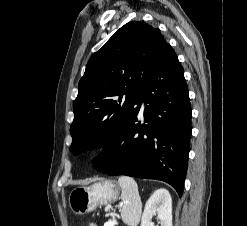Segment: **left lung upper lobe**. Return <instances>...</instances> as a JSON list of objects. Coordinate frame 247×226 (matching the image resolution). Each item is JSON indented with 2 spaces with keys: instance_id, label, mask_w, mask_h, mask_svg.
I'll return each mask as SVG.
<instances>
[{
  "instance_id": "5c2ea615",
  "label": "left lung upper lobe",
  "mask_w": 247,
  "mask_h": 226,
  "mask_svg": "<svg viewBox=\"0 0 247 226\" xmlns=\"http://www.w3.org/2000/svg\"><path fill=\"white\" fill-rule=\"evenodd\" d=\"M166 44L159 29L130 21L91 56L73 103L71 152L106 148L116 139Z\"/></svg>"
}]
</instances>
